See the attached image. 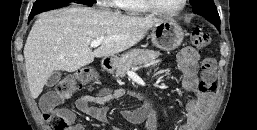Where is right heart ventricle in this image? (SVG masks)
<instances>
[{
	"mask_svg": "<svg viewBox=\"0 0 257 130\" xmlns=\"http://www.w3.org/2000/svg\"><path fill=\"white\" fill-rule=\"evenodd\" d=\"M115 7L127 15H144L149 13L143 0H115Z\"/></svg>",
	"mask_w": 257,
	"mask_h": 130,
	"instance_id": "right-heart-ventricle-1",
	"label": "right heart ventricle"
}]
</instances>
